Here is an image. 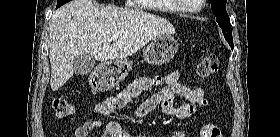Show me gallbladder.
Returning <instances> with one entry per match:
<instances>
[{
  "instance_id": "bac80fb5",
  "label": "gallbladder",
  "mask_w": 280,
  "mask_h": 137,
  "mask_svg": "<svg viewBox=\"0 0 280 137\" xmlns=\"http://www.w3.org/2000/svg\"><path fill=\"white\" fill-rule=\"evenodd\" d=\"M96 65V59L88 53L76 56L73 61V69L76 75L89 74Z\"/></svg>"
}]
</instances>
